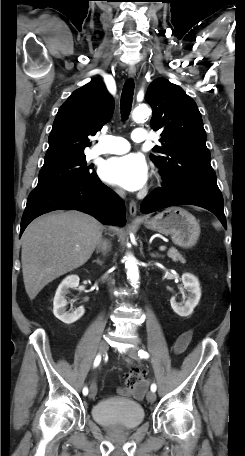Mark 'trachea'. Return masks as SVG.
<instances>
[{"label":"trachea","mask_w":245,"mask_h":456,"mask_svg":"<svg viewBox=\"0 0 245 456\" xmlns=\"http://www.w3.org/2000/svg\"><path fill=\"white\" fill-rule=\"evenodd\" d=\"M133 95H134V82L133 80H128L122 90L121 94V114L122 118L124 120L127 119V117L130 114L131 107H132V101H133Z\"/></svg>","instance_id":"1"}]
</instances>
